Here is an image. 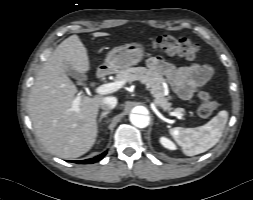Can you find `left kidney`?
Wrapping results in <instances>:
<instances>
[{"mask_svg":"<svg viewBox=\"0 0 253 200\" xmlns=\"http://www.w3.org/2000/svg\"><path fill=\"white\" fill-rule=\"evenodd\" d=\"M160 143L169 150H176V145L168 138L162 136L160 137Z\"/></svg>","mask_w":253,"mask_h":200,"instance_id":"left-kidney-1","label":"left kidney"}]
</instances>
